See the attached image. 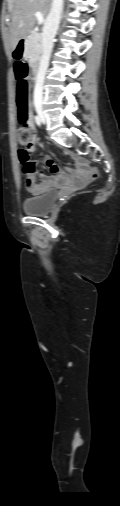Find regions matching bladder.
<instances>
[{
	"label": "bladder",
	"mask_w": 120,
	"mask_h": 506,
	"mask_svg": "<svg viewBox=\"0 0 120 506\" xmlns=\"http://www.w3.org/2000/svg\"><path fill=\"white\" fill-rule=\"evenodd\" d=\"M57 200V192L49 190L39 196L26 197L23 199L22 207L29 215L47 214Z\"/></svg>",
	"instance_id": "31cf9c89"
}]
</instances>
